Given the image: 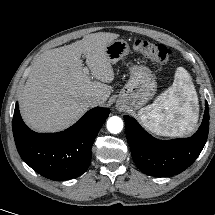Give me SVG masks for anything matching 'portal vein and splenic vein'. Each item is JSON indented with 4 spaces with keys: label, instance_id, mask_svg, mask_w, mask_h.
I'll return each instance as SVG.
<instances>
[{
    "label": "portal vein and splenic vein",
    "instance_id": "1",
    "mask_svg": "<svg viewBox=\"0 0 215 215\" xmlns=\"http://www.w3.org/2000/svg\"><path fill=\"white\" fill-rule=\"evenodd\" d=\"M83 72H84L85 74H89V69H88L87 67H84V68H83Z\"/></svg>",
    "mask_w": 215,
    "mask_h": 215
}]
</instances>
